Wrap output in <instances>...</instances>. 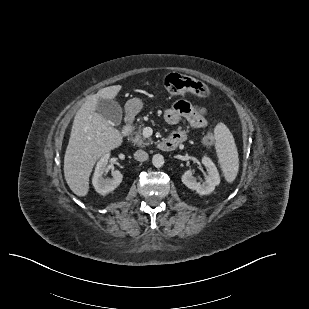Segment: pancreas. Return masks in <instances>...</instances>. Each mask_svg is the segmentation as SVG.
<instances>
[{"label": "pancreas", "mask_w": 309, "mask_h": 309, "mask_svg": "<svg viewBox=\"0 0 309 309\" xmlns=\"http://www.w3.org/2000/svg\"><path fill=\"white\" fill-rule=\"evenodd\" d=\"M143 124L138 125L137 130L133 131L132 136L131 137V141L136 144L138 147H143L145 145H149L152 143L151 139H146L143 135H142V128H143ZM135 129V127H133Z\"/></svg>", "instance_id": "1"}]
</instances>
